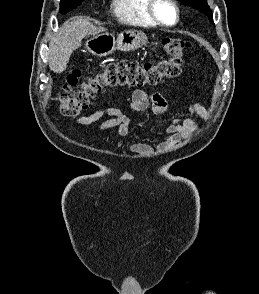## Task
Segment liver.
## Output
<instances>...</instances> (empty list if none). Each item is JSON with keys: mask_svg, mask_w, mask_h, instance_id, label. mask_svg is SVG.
<instances>
[{"mask_svg": "<svg viewBox=\"0 0 259 294\" xmlns=\"http://www.w3.org/2000/svg\"><path fill=\"white\" fill-rule=\"evenodd\" d=\"M103 31L105 28L96 27L84 16H76L64 22L49 45L50 70L62 73L73 51L81 46L82 39L87 35H95Z\"/></svg>", "mask_w": 259, "mask_h": 294, "instance_id": "6515ba94", "label": "liver"}]
</instances>
